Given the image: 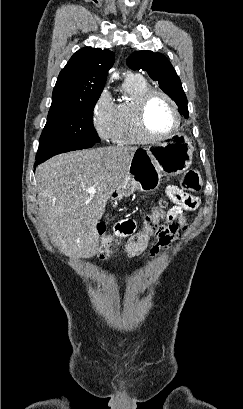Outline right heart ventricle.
I'll return each instance as SVG.
<instances>
[{"instance_id":"right-heart-ventricle-1","label":"right heart ventricle","mask_w":243,"mask_h":409,"mask_svg":"<svg viewBox=\"0 0 243 409\" xmlns=\"http://www.w3.org/2000/svg\"><path fill=\"white\" fill-rule=\"evenodd\" d=\"M150 89L149 84L142 78L124 81L123 91L126 100L115 105L116 122L112 141L120 145L142 143L132 120V107L141 94Z\"/></svg>"}]
</instances>
